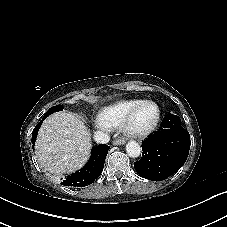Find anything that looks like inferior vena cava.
<instances>
[{"mask_svg": "<svg viewBox=\"0 0 227 227\" xmlns=\"http://www.w3.org/2000/svg\"><path fill=\"white\" fill-rule=\"evenodd\" d=\"M94 140L99 144H106L110 140V135L102 130H98L94 134Z\"/></svg>", "mask_w": 227, "mask_h": 227, "instance_id": "inferior-vena-cava-1", "label": "inferior vena cava"}]
</instances>
